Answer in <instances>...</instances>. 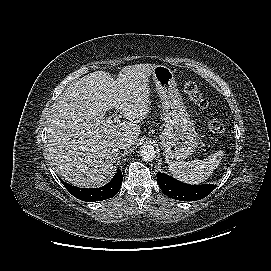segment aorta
I'll return each mask as SVG.
<instances>
[{
	"instance_id": "1",
	"label": "aorta",
	"mask_w": 271,
	"mask_h": 271,
	"mask_svg": "<svg viewBox=\"0 0 271 271\" xmlns=\"http://www.w3.org/2000/svg\"><path fill=\"white\" fill-rule=\"evenodd\" d=\"M140 156L144 161H152L156 156V151L152 145L144 144L140 148Z\"/></svg>"
}]
</instances>
